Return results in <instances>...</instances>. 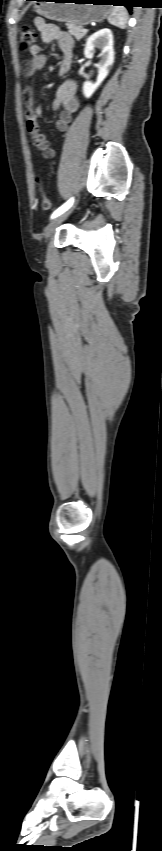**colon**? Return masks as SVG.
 <instances>
[{"instance_id":"obj_1","label":"colon","mask_w":162,"mask_h":851,"mask_svg":"<svg viewBox=\"0 0 162 851\" xmlns=\"http://www.w3.org/2000/svg\"><path fill=\"white\" fill-rule=\"evenodd\" d=\"M37 40L36 31L30 26H24L20 29L19 35V46L23 50H29L32 46L35 45ZM39 181V179H37ZM42 207L45 210L51 208V201L47 196H43L42 198Z\"/></svg>"}]
</instances>
